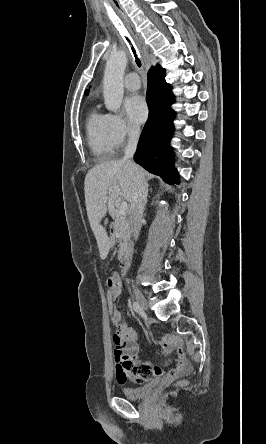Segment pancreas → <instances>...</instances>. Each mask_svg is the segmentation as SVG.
Here are the masks:
<instances>
[{"instance_id": "obj_1", "label": "pancreas", "mask_w": 266, "mask_h": 444, "mask_svg": "<svg viewBox=\"0 0 266 444\" xmlns=\"http://www.w3.org/2000/svg\"><path fill=\"white\" fill-rule=\"evenodd\" d=\"M117 233L119 236V243H120V255L122 254V250L127 247L128 240L130 237V227L129 222L126 216L120 215L118 221H117Z\"/></svg>"}]
</instances>
